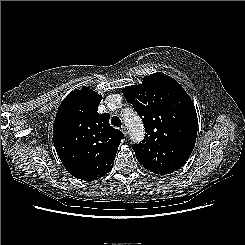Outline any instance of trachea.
<instances>
[{
  "label": "trachea",
  "instance_id": "3493384b",
  "mask_svg": "<svg viewBox=\"0 0 245 245\" xmlns=\"http://www.w3.org/2000/svg\"><path fill=\"white\" fill-rule=\"evenodd\" d=\"M111 123H112V125H114L116 127H121V125H122L120 118L117 116L112 117Z\"/></svg>",
  "mask_w": 245,
  "mask_h": 245
}]
</instances>
